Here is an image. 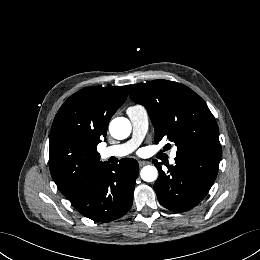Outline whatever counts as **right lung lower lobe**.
<instances>
[{
  "label": "right lung lower lobe",
  "instance_id": "obj_1",
  "mask_svg": "<svg viewBox=\"0 0 260 260\" xmlns=\"http://www.w3.org/2000/svg\"><path fill=\"white\" fill-rule=\"evenodd\" d=\"M138 173V162L132 158L121 159L117 165L104 162L90 183L70 202L94 221L116 220L132 206Z\"/></svg>",
  "mask_w": 260,
  "mask_h": 260
}]
</instances>
